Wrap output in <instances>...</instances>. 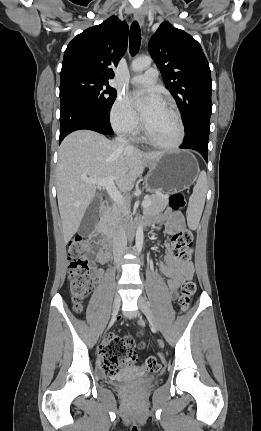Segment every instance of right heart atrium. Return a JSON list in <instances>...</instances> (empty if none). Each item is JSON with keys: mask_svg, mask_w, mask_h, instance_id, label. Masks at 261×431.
<instances>
[{"mask_svg": "<svg viewBox=\"0 0 261 431\" xmlns=\"http://www.w3.org/2000/svg\"><path fill=\"white\" fill-rule=\"evenodd\" d=\"M110 122L113 129L120 133H133L138 129V120L124 96H118L113 103Z\"/></svg>", "mask_w": 261, "mask_h": 431, "instance_id": "right-heart-atrium-1", "label": "right heart atrium"}]
</instances>
